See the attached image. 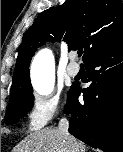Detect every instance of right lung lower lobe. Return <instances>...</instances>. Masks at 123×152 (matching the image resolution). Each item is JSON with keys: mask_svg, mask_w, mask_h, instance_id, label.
Returning <instances> with one entry per match:
<instances>
[{"mask_svg": "<svg viewBox=\"0 0 123 152\" xmlns=\"http://www.w3.org/2000/svg\"><path fill=\"white\" fill-rule=\"evenodd\" d=\"M88 88L73 85L65 113L69 132L104 152H123V36L93 54L86 62ZM83 93L84 102L78 97Z\"/></svg>", "mask_w": 123, "mask_h": 152, "instance_id": "1", "label": "right lung lower lobe"}]
</instances>
